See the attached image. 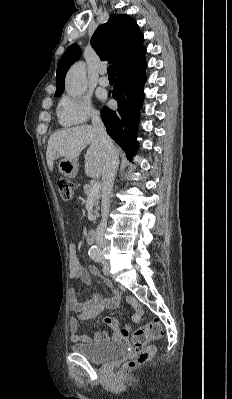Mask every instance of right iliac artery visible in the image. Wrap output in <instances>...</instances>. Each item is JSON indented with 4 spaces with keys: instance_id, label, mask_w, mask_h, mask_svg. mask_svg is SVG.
I'll return each mask as SVG.
<instances>
[{
    "instance_id": "1",
    "label": "right iliac artery",
    "mask_w": 232,
    "mask_h": 399,
    "mask_svg": "<svg viewBox=\"0 0 232 399\" xmlns=\"http://www.w3.org/2000/svg\"><path fill=\"white\" fill-rule=\"evenodd\" d=\"M93 258H94L96 261H101L102 256H101V255H95V256H93Z\"/></svg>"
}]
</instances>
